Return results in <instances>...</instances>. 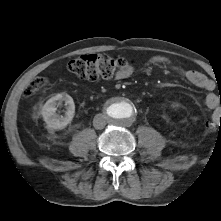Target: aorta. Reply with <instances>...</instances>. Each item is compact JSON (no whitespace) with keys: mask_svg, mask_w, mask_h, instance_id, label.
Returning a JSON list of instances; mask_svg holds the SVG:
<instances>
[{"mask_svg":"<svg viewBox=\"0 0 221 221\" xmlns=\"http://www.w3.org/2000/svg\"><path fill=\"white\" fill-rule=\"evenodd\" d=\"M108 120L116 125H129L135 118L136 107L126 98L111 101L106 108Z\"/></svg>","mask_w":221,"mask_h":221,"instance_id":"obj_1","label":"aorta"}]
</instances>
